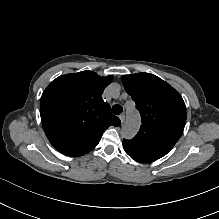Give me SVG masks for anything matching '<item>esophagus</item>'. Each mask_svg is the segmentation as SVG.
I'll use <instances>...</instances> for the list:
<instances>
[{"label":"esophagus","instance_id":"1","mask_svg":"<svg viewBox=\"0 0 219 219\" xmlns=\"http://www.w3.org/2000/svg\"><path fill=\"white\" fill-rule=\"evenodd\" d=\"M119 119H120L121 123L123 124L124 121H125V114H124V113H121V114L119 115Z\"/></svg>","mask_w":219,"mask_h":219}]
</instances>
